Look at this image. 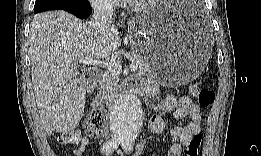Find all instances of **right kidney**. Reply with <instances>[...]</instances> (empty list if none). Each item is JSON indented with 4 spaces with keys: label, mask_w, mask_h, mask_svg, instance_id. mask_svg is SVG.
I'll use <instances>...</instances> for the list:
<instances>
[{
    "label": "right kidney",
    "mask_w": 261,
    "mask_h": 156,
    "mask_svg": "<svg viewBox=\"0 0 261 156\" xmlns=\"http://www.w3.org/2000/svg\"><path fill=\"white\" fill-rule=\"evenodd\" d=\"M70 85H71V87H72V86H73V83H71Z\"/></svg>",
    "instance_id": "right-kidney-1"
}]
</instances>
